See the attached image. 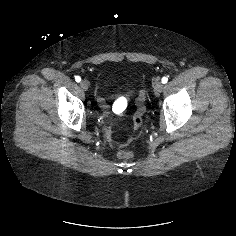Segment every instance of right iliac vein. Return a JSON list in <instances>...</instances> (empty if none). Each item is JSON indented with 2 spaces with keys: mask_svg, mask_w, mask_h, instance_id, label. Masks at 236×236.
I'll return each instance as SVG.
<instances>
[{
  "mask_svg": "<svg viewBox=\"0 0 236 236\" xmlns=\"http://www.w3.org/2000/svg\"><path fill=\"white\" fill-rule=\"evenodd\" d=\"M80 87L83 89V90H88L89 88V83L87 81H81L80 82Z\"/></svg>",
  "mask_w": 236,
  "mask_h": 236,
  "instance_id": "right-iliac-vein-1",
  "label": "right iliac vein"
}]
</instances>
